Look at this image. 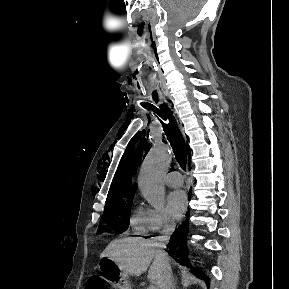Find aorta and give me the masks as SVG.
Wrapping results in <instances>:
<instances>
[{
	"label": "aorta",
	"instance_id": "obj_1",
	"mask_svg": "<svg viewBox=\"0 0 289 289\" xmlns=\"http://www.w3.org/2000/svg\"><path fill=\"white\" fill-rule=\"evenodd\" d=\"M170 161L169 147L161 141H156L141 165L138 187L143 197L153 207H161L165 203L162 177Z\"/></svg>",
	"mask_w": 289,
	"mask_h": 289
}]
</instances>
